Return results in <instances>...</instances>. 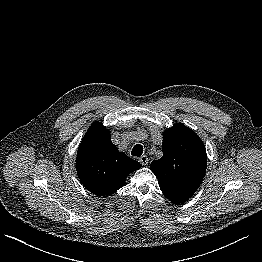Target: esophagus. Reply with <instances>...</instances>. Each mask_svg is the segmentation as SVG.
<instances>
[{"label": "esophagus", "instance_id": "1", "mask_svg": "<svg viewBox=\"0 0 262 262\" xmlns=\"http://www.w3.org/2000/svg\"><path fill=\"white\" fill-rule=\"evenodd\" d=\"M139 162H140L142 165H147V164H148V158H147V156L142 155V156L139 158Z\"/></svg>", "mask_w": 262, "mask_h": 262}]
</instances>
